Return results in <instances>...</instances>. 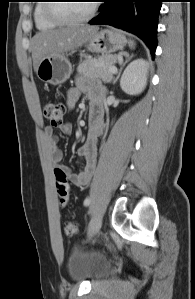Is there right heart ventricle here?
<instances>
[{
    "instance_id": "right-heart-ventricle-1",
    "label": "right heart ventricle",
    "mask_w": 195,
    "mask_h": 299,
    "mask_svg": "<svg viewBox=\"0 0 195 299\" xmlns=\"http://www.w3.org/2000/svg\"><path fill=\"white\" fill-rule=\"evenodd\" d=\"M46 0H38L33 10V20L39 30H49L57 27L59 24L49 20L45 14Z\"/></svg>"
}]
</instances>
